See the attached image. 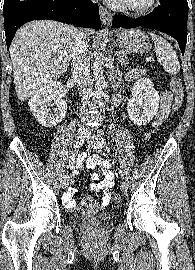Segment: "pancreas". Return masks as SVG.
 <instances>
[{
	"instance_id": "obj_1",
	"label": "pancreas",
	"mask_w": 195,
	"mask_h": 270,
	"mask_svg": "<svg viewBox=\"0 0 195 270\" xmlns=\"http://www.w3.org/2000/svg\"><path fill=\"white\" fill-rule=\"evenodd\" d=\"M119 62L121 65L126 66L128 64V57L126 53H121L119 56Z\"/></svg>"
}]
</instances>
